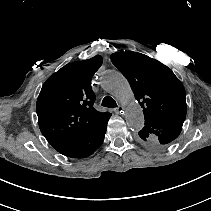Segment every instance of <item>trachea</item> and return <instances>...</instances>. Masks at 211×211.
I'll use <instances>...</instances> for the list:
<instances>
[{
	"mask_svg": "<svg viewBox=\"0 0 211 211\" xmlns=\"http://www.w3.org/2000/svg\"><path fill=\"white\" fill-rule=\"evenodd\" d=\"M101 105H102L103 107H108V108H115V107H117V103H116L115 100H114L112 97H110V96H106V97L103 99Z\"/></svg>",
	"mask_w": 211,
	"mask_h": 211,
	"instance_id": "trachea-1",
	"label": "trachea"
}]
</instances>
